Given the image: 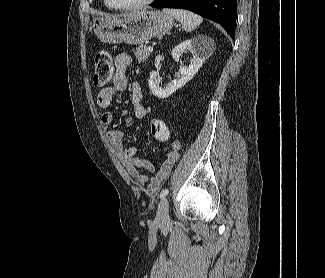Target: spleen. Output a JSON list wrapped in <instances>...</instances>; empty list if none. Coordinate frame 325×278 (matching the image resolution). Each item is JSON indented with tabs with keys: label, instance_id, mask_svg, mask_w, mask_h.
Returning a JSON list of instances; mask_svg holds the SVG:
<instances>
[{
	"label": "spleen",
	"instance_id": "1",
	"mask_svg": "<svg viewBox=\"0 0 325 278\" xmlns=\"http://www.w3.org/2000/svg\"><path fill=\"white\" fill-rule=\"evenodd\" d=\"M163 12L181 22L183 30L190 32L198 27L203 19L199 15L183 9H163Z\"/></svg>",
	"mask_w": 325,
	"mask_h": 278
}]
</instances>
